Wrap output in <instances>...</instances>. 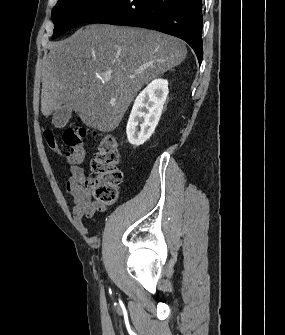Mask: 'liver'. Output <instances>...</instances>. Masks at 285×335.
I'll return each mask as SVG.
<instances>
[{
  "mask_svg": "<svg viewBox=\"0 0 285 335\" xmlns=\"http://www.w3.org/2000/svg\"><path fill=\"white\" fill-rule=\"evenodd\" d=\"M47 48L43 116L68 104L85 126L100 132H113L139 90L179 66L187 54L184 42L173 36L108 24L84 26Z\"/></svg>",
  "mask_w": 285,
  "mask_h": 335,
  "instance_id": "6515ba94",
  "label": "liver"
}]
</instances>
